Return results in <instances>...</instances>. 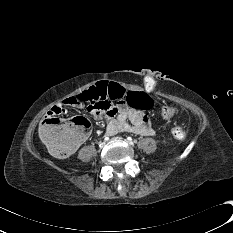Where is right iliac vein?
<instances>
[{
	"mask_svg": "<svg viewBox=\"0 0 233 233\" xmlns=\"http://www.w3.org/2000/svg\"><path fill=\"white\" fill-rule=\"evenodd\" d=\"M105 145H106V143H105V142H101L99 146H100V148H104V147H105Z\"/></svg>",
	"mask_w": 233,
	"mask_h": 233,
	"instance_id": "right-iliac-vein-1",
	"label": "right iliac vein"
}]
</instances>
